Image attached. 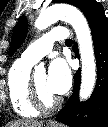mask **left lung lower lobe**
<instances>
[{"instance_id":"1","label":"left lung lower lobe","mask_w":108,"mask_h":127,"mask_svg":"<svg viewBox=\"0 0 108 127\" xmlns=\"http://www.w3.org/2000/svg\"><path fill=\"white\" fill-rule=\"evenodd\" d=\"M79 9L86 16L92 33L97 82L91 98L80 103L81 71L78 70L74 75L73 94L56 118L70 127H108V19L96 0H83ZM74 52L79 57L77 49Z\"/></svg>"}]
</instances>
